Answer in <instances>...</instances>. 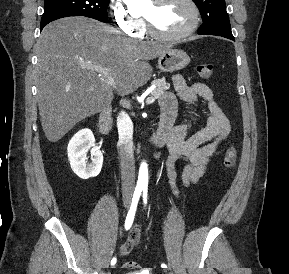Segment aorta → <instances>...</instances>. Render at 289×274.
Masks as SVG:
<instances>
[{
  "label": "aorta",
  "mask_w": 289,
  "mask_h": 274,
  "mask_svg": "<svg viewBox=\"0 0 289 274\" xmlns=\"http://www.w3.org/2000/svg\"><path fill=\"white\" fill-rule=\"evenodd\" d=\"M130 8H140L148 0H123ZM148 183V168L147 164L143 162L139 169L138 184L146 185Z\"/></svg>",
  "instance_id": "aorta-1"
}]
</instances>
